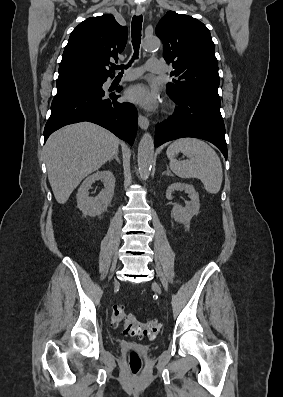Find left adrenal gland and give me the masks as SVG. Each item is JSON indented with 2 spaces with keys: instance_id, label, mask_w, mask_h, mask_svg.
<instances>
[{
  "instance_id": "left-adrenal-gland-1",
  "label": "left adrenal gland",
  "mask_w": 283,
  "mask_h": 397,
  "mask_svg": "<svg viewBox=\"0 0 283 397\" xmlns=\"http://www.w3.org/2000/svg\"><path fill=\"white\" fill-rule=\"evenodd\" d=\"M163 175H167V176H173V174L170 172L169 167L167 166V170L165 172H163Z\"/></svg>"
}]
</instances>
